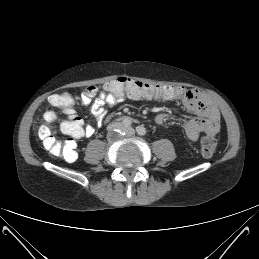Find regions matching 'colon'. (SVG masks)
I'll return each instance as SVG.
<instances>
[{"label":"colon","instance_id":"5ec220e1","mask_svg":"<svg viewBox=\"0 0 259 259\" xmlns=\"http://www.w3.org/2000/svg\"><path fill=\"white\" fill-rule=\"evenodd\" d=\"M108 92L127 93L139 98H154L161 93V86L148 84L129 77H119L111 80L104 85ZM69 98L67 95H54L52 104L56 107L67 105ZM55 119L52 113L45 116L46 122ZM82 121L78 116L69 117L68 120L61 124V130L70 136L65 140H58L48 124H42L38 129L39 138L42 140L44 147L52 155L61 157L68 162H73L77 158L75 139L82 134ZM216 150V139L214 136H205L201 141V151L205 157H211Z\"/></svg>","mask_w":259,"mask_h":259}]
</instances>
